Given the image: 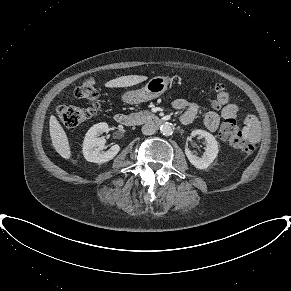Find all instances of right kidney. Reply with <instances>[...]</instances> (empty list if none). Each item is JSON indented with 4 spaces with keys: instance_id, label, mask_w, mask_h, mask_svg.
I'll return each mask as SVG.
<instances>
[{
    "instance_id": "right-kidney-1",
    "label": "right kidney",
    "mask_w": 291,
    "mask_h": 291,
    "mask_svg": "<svg viewBox=\"0 0 291 291\" xmlns=\"http://www.w3.org/2000/svg\"><path fill=\"white\" fill-rule=\"evenodd\" d=\"M108 132L107 123H98L88 130L83 142V155L87 161L101 164L112 160L118 154L120 151L118 144L113 145L108 151H101L106 140L99 135Z\"/></svg>"
}]
</instances>
